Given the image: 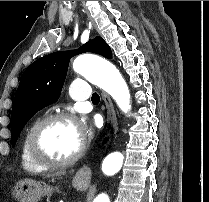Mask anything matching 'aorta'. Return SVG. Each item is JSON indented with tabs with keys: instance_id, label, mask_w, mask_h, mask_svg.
I'll list each match as a JSON object with an SVG mask.
<instances>
[{
	"instance_id": "762f6f07",
	"label": "aorta",
	"mask_w": 209,
	"mask_h": 202,
	"mask_svg": "<svg viewBox=\"0 0 209 202\" xmlns=\"http://www.w3.org/2000/svg\"><path fill=\"white\" fill-rule=\"evenodd\" d=\"M73 70L106 91L127 113L131 109L130 92L119 70L110 62L91 55L78 56L73 62ZM120 152L108 154L102 162V171L106 175H114L123 164ZM93 202H110L108 195L102 193Z\"/></svg>"
}]
</instances>
